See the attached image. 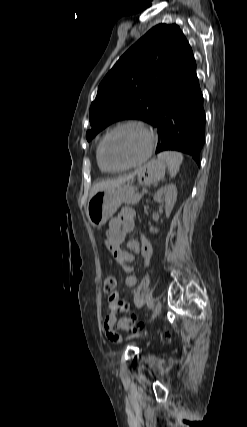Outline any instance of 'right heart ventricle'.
Masks as SVG:
<instances>
[{
	"instance_id": "e07e8e85",
	"label": "right heart ventricle",
	"mask_w": 247,
	"mask_h": 427,
	"mask_svg": "<svg viewBox=\"0 0 247 427\" xmlns=\"http://www.w3.org/2000/svg\"><path fill=\"white\" fill-rule=\"evenodd\" d=\"M99 148H100V143L98 144L97 149H96V160H97L98 167L102 172H108V170L103 166V164L100 160Z\"/></svg>"
}]
</instances>
